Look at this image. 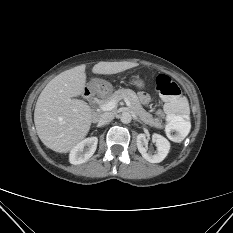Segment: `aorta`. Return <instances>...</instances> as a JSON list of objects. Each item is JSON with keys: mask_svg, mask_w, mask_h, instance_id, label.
Wrapping results in <instances>:
<instances>
[{"mask_svg": "<svg viewBox=\"0 0 233 233\" xmlns=\"http://www.w3.org/2000/svg\"><path fill=\"white\" fill-rule=\"evenodd\" d=\"M131 120H132V116H131V114L129 112L124 111V112L121 113V115H120V121L122 123L128 124V123L131 122Z\"/></svg>", "mask_w": 233, "mask_h": 233, "instance_id": "762f6f07", "label": "aorta"}]
</instances>
